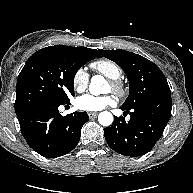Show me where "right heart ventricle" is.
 <instances>
[{
  "mask_svg": "<svg viewBox=\"0 0 193 193\" xmlns=\"http://www.w3.org/2000/svg\"><path fill=\"white\" fill-rule=\"evenodd\" d=\"M91 67L94 71L109 79H119L123 73L122 68L110 59L97 60L91 64Z\"/></svg>",
  "mask_w": 193,
  "mask_h": 193,
  "instance_id": "obj_1",
  "label": "right heart ventricle"
}]
</instances>
